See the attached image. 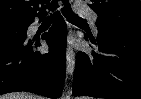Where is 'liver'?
<instances>
[{"instance_id": "1", "label": "liver", "mask_w": 141, "mask_h": 99, "mask_svg": "<svg viewBox=\"0 0 141 99\" xmlns=\"http://www.w3.org/2000/svg\"><path fill=\"white\" fill-rule=\"evenodd\" d=\"M0 99H42V98L40 96L26 92H17L0 96Z\"/></svg>"}]
</instances>
